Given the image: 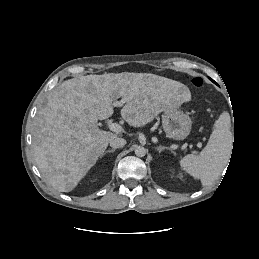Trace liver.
<instances>
[{
	"instance_id": "obj_1",
	"label": "liver",
	"mask_w": 259,
	"mask_h": 259,
	"mask_svg": "<svg viewBox=\"0 0 259 259\" xmlns=\"http://www.w3.org/2000/svg\"><path fill=\"white\" fill-rule=\"evenodd\" d=\"M184 85L151 73L80 76L52 90L34 123L36 165L59 192L72 191L103 155L116 134L98 128L109 118L114 101L127 98L122 118L133 127L152 122L161 112L190 99Z\"/></svg>"
}]
</instances>
